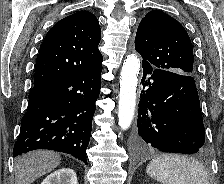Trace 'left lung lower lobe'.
<instances>
[{
  "label": "left lung lower lobe",
  "instance_id": "obj_1",
  "mask_svg": "<svg viewBox=\"0 0 224 184\" xmlns=\"http://www.w3.org/2000/svg\"><path fill=\"white\" fill-rule=\"evenodd\" d=\"M147 74H151L148 79ZM141 82L146 89L141 91L138 106V147L202 152L205 129L193 76L143 66Z\"/></svg>",
  "mask_w": 224,
  "mask_h": 184
}]
</instances>
